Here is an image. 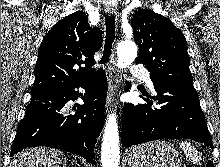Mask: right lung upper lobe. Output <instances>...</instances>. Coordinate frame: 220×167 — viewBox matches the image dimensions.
Returning <instances> with one entry per match:
<instances>
[{
  "mask_svg": "<svg viewBox=\"0 0 220 167\" xmlns=\"http://www.w3.org/2000/svg\"><path fill=\"white\" fill-rule=\"evenodd\" d=\"M102 44L98 27H90L83 11L58 21L44 36L35 66L31 94L65 88L96 74L94 54ZM85 64V67H81ZM79 66L78 70L74 67Z\"/></svg>",
  "mask_w": 220,
  "mask_h": 167,
  "instance_id": "right-lung-upper-lobe-1",
  "label": "right lung upper lobe"
}]
</instances>
